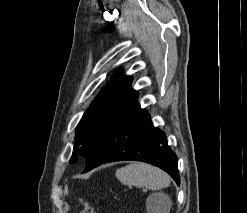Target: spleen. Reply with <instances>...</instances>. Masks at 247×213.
Returning a JSON list of instances; mask_svg holds the SVG:
<instances>
[{
    "label": "spleen",
    "mask_w": 247,
    "mask_h": 213,
    "mask_svg": "<svg viewBox=\"0 0 247 213\" xmlns=\"http://www.w3.org/2000/svg\"><path fill=\"white\" fill-rule=\"evenodd\" d=\"M115 176L124 185L161 190L170 185V177L164 171L145 164L134 162L116 170Z\"/></svg>",
    "instance_id": "1"
}]
</instances>
